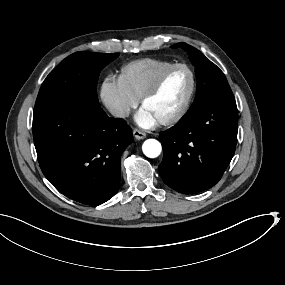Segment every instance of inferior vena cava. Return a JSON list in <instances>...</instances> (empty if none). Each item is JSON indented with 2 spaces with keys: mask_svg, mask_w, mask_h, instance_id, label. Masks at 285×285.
<instances>
[{
  "mask_svg": "<svg viewBox=\"0 0 285 285\" xmlns=\"http://www.w3.org/2000/svg\"><path fill=\"white\" fill-rule=\"evenodd\" d=\"M110 114L115 118H125L128 117L130 108L127 106H110L108 108Z\"/></svg>",
  "mask_w": 285,
  "mask_h": 285,
  "instance_id": "602c4592",
  "label": "inferior vena cava"
}]
</instances>
